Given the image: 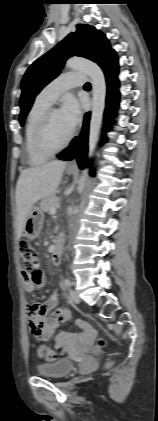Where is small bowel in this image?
<instances>
[{
    "label": "small bowel",
    "instance_id": "small-bowel-1",
    "mask_svg": "<svg viewBox=\"0 0 158 421\" xmlns=\"http://www.w3.org/2000/svg\"><path fill=\"white\" fill-rule=\"evenodd\" d=\"M23 279L26 287L29 281H34L36 283L35 289L41 288L45 285V275L40 270H37L33 274L23 273ZM57 304V293H53L44 302L28 305L27 312L29 327L36 340H49L61 324L71 319V313L67 309L60 308L51 314V311L56 308ZM57 314H61V316H57ZM76 325L81 330V333L64 331L56 336L55 347L61 350V352L67 351L76 342L87 341L92 335V329L86 322L78 320Z\"/></svg>",
    "mask_w": 158,
    "mask_h": 421
}]
</instances>
